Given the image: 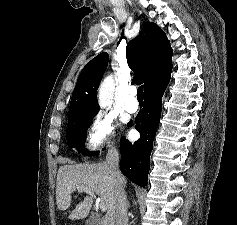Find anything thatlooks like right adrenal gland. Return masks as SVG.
I'll return each mask as SVG.
<instances>
[{
  "instance_id": "1",
  "label": "right adrenal gland",
  "mask_w": 237,
  "mask_h": 225,
  "mask_svg": "<svg viewBox=\"0 0 237 225\" xmlns=\"http://www.w3.org/2000/svg\"><path fill=\"white\" fill-rule=\"evenodd\" d=\"M127 204H128V207H130V204H129V202H127Z\"/></svg>"
}]
</instances>
